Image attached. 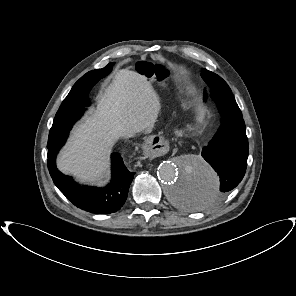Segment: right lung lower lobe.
<instances>
[{
  "label": "right lung lower lobe",
  "instance_id": "98d812e1",
  "mask_svg": "<svg viewBox=\"0 0 296 296\" xmlns=\"http://www.w3.org/2000/svg\"><path fill=\"white\" fill-rule=\"evenodd\" d=\"M98 80V78L87 79L83 83V88L94 86ZM65 141L61 140L48 148V169L57 188L71 203L82 210L95 214H109L120 210L127 199L129 186L134 177V173L124 165L122 157L118 153L112 154V179L106 187L81 186L56 168V155Z\"/></svg>",
  "mask_w": 296,
  "mask_h": 296
}]
</instances>
